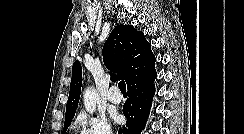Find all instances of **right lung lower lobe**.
I'll list each match as a JSON object with an SVG mask.
<instances>
[{
    "instance_id": "obj_1",
    "label": "right lung lower lobe",
    "mask_w": 244,
    "mask_h": 134,
    "mask_svg": "<svg viewBox=\"0 0 244 134\" xmlns=\"http://www.w3.org/2000/svg\"><path fill=\"white\" fill-rule=\"evenodd\" d=\"M155 78L156 74L127 87L129 98L123 106L127 122L118 134H140L144 129L155 93Z\"/></svg>"
}]
</instances>
